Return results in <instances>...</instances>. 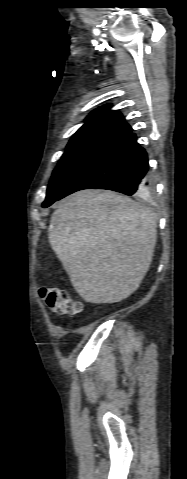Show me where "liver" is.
Returning <instances> with one entry per match:
<instances>
[{
  "mask_svg": "<svg viewBox=\"0 0 187 479\" xmlns=\"http://www.w3.org/2000/svg\"><path fill=\"white\" fill-rule=\"evenodd\" d=\"M153 213L112 191L83 190L61 200L48 239L76 292L89 303H116L135 292L152 262Z\"/></svg>",
  "mask_w": 187,
  "mask_h": 479,
  "instance_id": "liver-1",
  "label": "liver"
}]
</instances>
